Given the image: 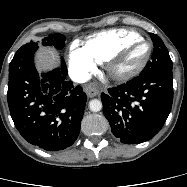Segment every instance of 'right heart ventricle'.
I'll return each instance as SVG.
<instances>
[{"mask_svg":"<svg viewBox=\"0 0 187 187\" xmlns=\"http://www.w3.org/2000/svg\"><path fill=\"white\" fill-rule=\"evenodd\" d=\"M140 37L139 33L132 30L111 29L88 37L82 45L97 63H104L119 47Z\"/></svg>","mask_w":187,"mask_h":187,"instance_id":"e07e8e85","label":"right heart ventricle"}]
</instances>
